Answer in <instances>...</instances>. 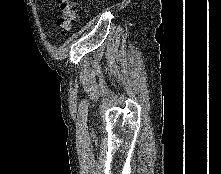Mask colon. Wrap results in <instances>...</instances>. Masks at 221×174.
<instances>
[{
  "mask_svg": "<svg viewBox=\"0 0 221 174\" xmlns=\"http://www.w3.org/2000/svg\"><path fill=\"white\" fill-rule=\"evenodd\" d=\"M62 15L57 20L58 27L63 31H69L77 22V3L73 0H58Z\"/></svg>",
  "mask_w": 221,
  "mask_h": 174,
  "instance_id": "obj_1",
  "label": "colon"
}]
</instances>
